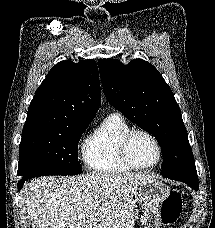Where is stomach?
I'll return each mask as SVG.
<instances>
[{"label":"stomach","mask_w":215,"mask_h":228,"mask_svg":"<svg viewBox=\"0 0 215 228\" xmlns=\"http://www.w3.org/2000/svg\"><path fill=\"white\" fill-rule=\"evenodd\" d=\"M134 196L142 208L143 228H162L161 204L170 196L168 186L155 178H148L136 184Z\"/></svg>","instance_id":"0dacf381"}]
</instances>
